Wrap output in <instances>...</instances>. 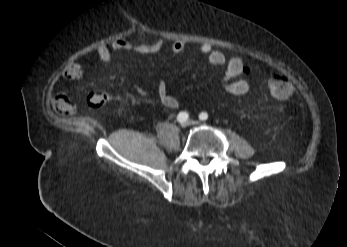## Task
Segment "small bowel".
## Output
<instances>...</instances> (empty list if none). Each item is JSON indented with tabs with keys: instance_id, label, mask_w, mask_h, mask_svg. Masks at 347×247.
<instances>
[{
	"instance_id": "small-bowel-1",
	"label": "small bowel",
	"mask_w": 347,
	"mask_h": 247,
	"mask_svg": "<svg viewBox=\"0 0 347 247\" xmlns=\"http://www.w3.org/2000/svg\"><path fill=\"white\" fill-rule=\"evenodd\" d=\"M169 44L173 53L179 54L186 48V43L182 40H155L130 41L122 38L113 42L111 47L101 44L95 51L102 63H107L111 58V51H133L140 55H153L162 51ZM199 51L206 55L208 62L217 68H223L222 81L224 90L234 96H243L250 91V70L244 60L239 56L227 57L225 53L214 48L209 43H203L199 46ZM84 75V67L77 63L69 64L64 70V76L69 79H80ZM138 92L142 97H148L149 93L138 87ZM156 92L161 104L167 108H177L179 100L168 93V85L164 80H160L156 85ZM53 110L62 116H72L76 113L74 103L63 94L58 95L52 102Z\"/></svg>"
}]
</instances>
